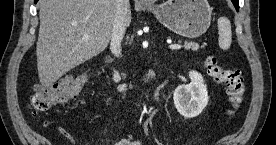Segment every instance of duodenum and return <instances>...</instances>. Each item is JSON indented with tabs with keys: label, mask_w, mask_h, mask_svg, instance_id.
I'll return each instance as SVG.
<instances>
[{
	"label": "duodenum",
	"mask_w": 276,
	"mask_h": 145,
	"mask_svg": "<svg viewBox=\"0 0 276 145\" xmlns=\"http://www.w3.org/2000/svg\"><path fill=\"white\" fill-rule=\"evenodd\" d=\"M154 75H155L154 69L153 68L149 69L146 72L142 83L143 84L149 83L153 79ZM112 77L116 82L121 84L122 89H127V83L123 80L122 75L118 69L114 68L112 70Z\"/></svg>",
	"instance_id": "duodenum-1"
}]
</instances>
